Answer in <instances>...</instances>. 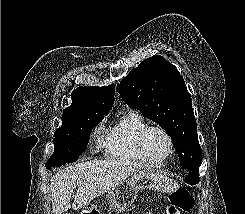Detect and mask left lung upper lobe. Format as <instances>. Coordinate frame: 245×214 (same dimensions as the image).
<instances>
[{
    "mask_svg": "<svg viewBox=\"0 0 245 214\" xmlns=\"http://www.w3.org/2000/svg\"><path fill=\"white\" fill-rule=\"evenodd\" d=\"M117 91L127 105L138 109L171 136L183 169L199 171L202 150L191 95L173 64L154 55L131 70L117 84Z\"/></svg>",
    "mask_w": 245,
    "mask_h": 214,
    "instance_id": "1",
    "label": "left lung upper lobe"
}]
</instances>
